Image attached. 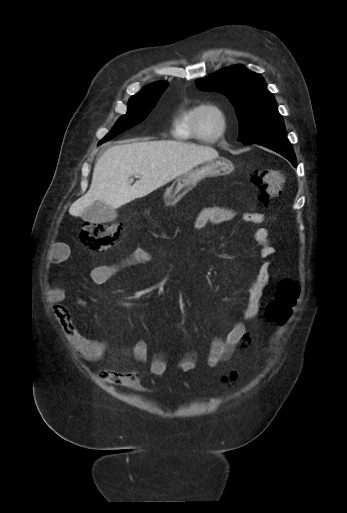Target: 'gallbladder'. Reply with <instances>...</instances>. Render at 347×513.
Here are the masks:
<instances>
[{"label":"gallbladder","instance_id":"bac80fb5","mask_svg":"<svg viewBox=\"0 0 347 513\" xmlns=\"http://www.w3.org/2000/svg\"><path fill=\"white\" fill-rule=\"evenodd\" d=\"M81 217L90 223L112 222L116 219L117 212L105 203L96 201L84 210Z\"/></svg>","mask_w":347,"mask_h":513}]
</instances>
